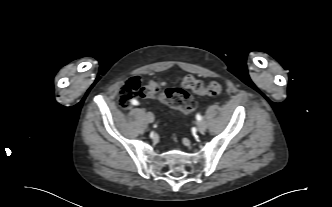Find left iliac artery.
Wrapping results in <instances>:
<instances>
[{
  "label": "left iliac artery",
  "mask_w": 332,
  "mask_h": 207,
  "mask_svg": "<svg viewBox=\"0 0 332 207\" xmlns=\"http://www.w3.org/2000/svg\"><path fill=\"white\" fill-rule=\"evenodd\" d=\"M196 119H197L198 121H200V120H202V116H201L200 114H197V115H196Z\"/></svg>",
  "instance_id": "left-iliac-artery-1"
}]
</instances>
